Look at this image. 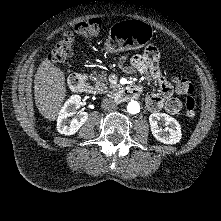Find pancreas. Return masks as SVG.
I'll list each match as a JSON object with an SVG mask.
<instances>
[{"label":"pancreas","mask_w":221,"mask_h":221,"mask_svg":"<svg viewBox=\"0 0 221 221\" xmlns=\"http://www.w3.org/2000/svg\"><path fill=\"white\" fill-rule=\"evenodd\" d=\"M89 78L94 81V90H96L97 93H105L109 88L115 87L108 82L106 74L104 73L98 75L90 74Z\"/></svg>","instance_id":"pancreas-1"}]
</instances>
